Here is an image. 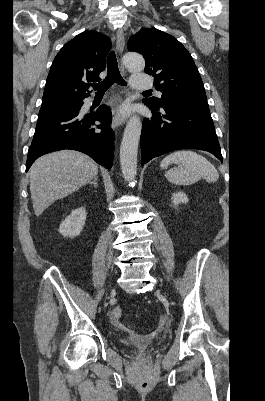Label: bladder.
<instances>
[{"instance_id": "31cf9c89", "label": "bladder", "mask_w": 265, "mask_h": 401, "mask_svg": "<svg viewBox=\"0 0 265 401\" xmlns=\"http://www.w3.org/2000/svg\"><path fill=\"white\" fill-rule=\"evenodd\" d=\"M127 346H138L142 348H146L149 346H155L157 341L155 339L149 337H130L123 341Z\"/></svg>"}]
</instances>
